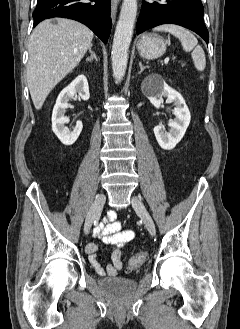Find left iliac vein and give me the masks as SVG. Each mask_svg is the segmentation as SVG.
Listing matches in <instances>:
<instances>
[{"instance_id": "left-iliac-vein-1", "label": "left iliac vein", "mask_w": 240, "mask_h": 329, "mask_svg": "<svg viewBox=\"0 0 240 329\" xmlns=\"http://www.w3.org/2000/svg\"><path fill=\"white\" fill-rule=\"evenodd\" d=\"M132 207L134 208L136 213L140 216V218L143 220L144 225L148 230V232L152 236H154L156 233L154 221L139 197L134 196L132 198Z\"/></svg>"}]
</instances>
